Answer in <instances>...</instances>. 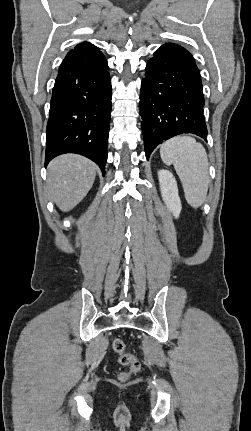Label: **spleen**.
<instances>
[{
	"mask_svg": "<svg viewBox=\"0 0 251 431\" xmlns=\"http://www.w3.org/2000/svg\"><path fill=\"white\" fill-rule=\"evenodd\" d=\"M162 161L174 168L182 182L187 202L201 206L208 192V157L201 143L189 136H178L164 142L160 148Z\"/></svg>",
	"mask_w": 251,
	"mask_h": 431,
	"instance_id": "3e777b00",
	"label": "spleen"
}]
</instances>
